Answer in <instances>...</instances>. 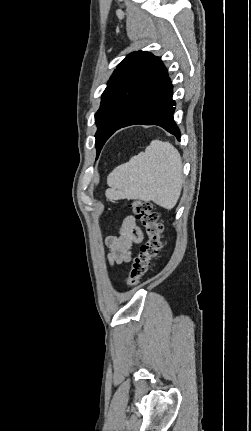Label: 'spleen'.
<instances>
[{"instance_id":"3e777b00","label":"spleen","mask_w":251,"mask_h":431,"mask_svg":"<svg viewBox=\"0 0 251 431\" xmlns=\"http://www.w3.org/2000/svg\"><path fill=\"white\" fill-rule=\"evenodd\" d=\"M182 160L169 142L154 140L127 163L116 167L107 177L111 200L140 199L172 209L181 194Z\"/></svg>"}]
</instances>
